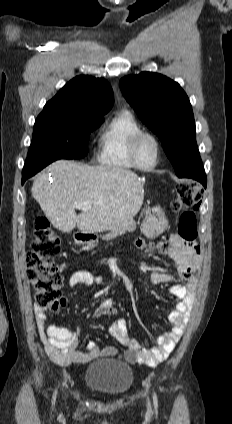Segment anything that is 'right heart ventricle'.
<instances>
[{
  "instance_id": "right-heart-ventricle-1",
  "label": "right heart ventricle",
  "mask_w": 232,
  "mask_h": 424,
  "mask_svg": "<svg viewBox=\"0 0 232 424\" xmlns=\"http://www.w3.org/2000/svg\"><path fill=\"white\" fill-rule=\"evenodd\" d=\"M142 130V127L128 110H122L101 130L98 139V160L107 167L114 169L136 168L129 156V145L132 137Z\"/></svg>"
}]
</instances>
